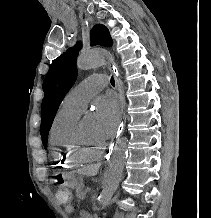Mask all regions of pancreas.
<instances>
[{
    "mask_svg": "<svg viewBox=\"0 0 211 218\" xmlns=\"http://www.w3.org/2000/svg\"><path fill=\"white\" fill-rule=\"evenodd\" d=\"M86 193L87 192H85V190H83V186H78V188L76 190L77 198H80V200H83Z\"/></svg>",
    "mask_w": 211,
    "mask_h": 218,
    "instance_id": "pancreas-1",
    "label": "pancreas"
}]
</instances>
